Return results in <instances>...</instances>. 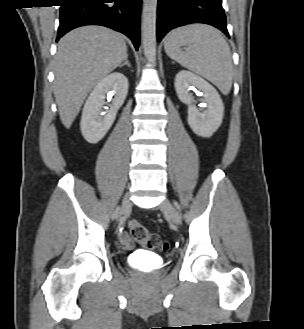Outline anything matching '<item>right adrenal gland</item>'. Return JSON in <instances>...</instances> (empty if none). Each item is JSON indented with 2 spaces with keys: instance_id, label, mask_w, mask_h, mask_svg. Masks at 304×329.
I'll return each mask as SVG.
<instances>
[{
  "instance_id": "1",
  "label": "right adrenal gland",
  "mask_w": 304,
  "mask_h": 329,
  "mask_svg": "<svg viewBox=\"0 0 304 329\" xmlns=\"http://www.w3.org/2000/svg\"><path fill=\"white\" fill-rule=\"evenodd\" d=\"M124 65L128 66L129 68L131 67L130 63L128 62V57L127 56L124 59V62L119 67L122 68Z\"/></svg>"
}]
</instances>
